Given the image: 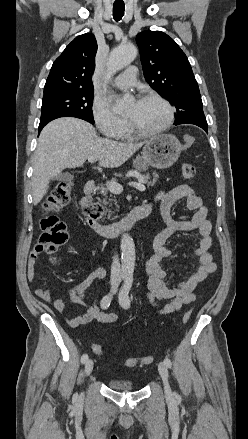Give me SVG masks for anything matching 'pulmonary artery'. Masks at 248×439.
<instances>
[{"mask_svg":"<svg viewBox=\"0 0 248 439\" xmlns=\"http://www.w3.org/2000/svg\"><path fill=\"white\" fill-rule=\"evenodd\" d=\"M136 67L131 66L114 79V85L119 89H126L134 85L136 79Z\"/></svg>","mask_w":248,"mask_h":439,"instance_id":"pulmonary-artery-1","label":"pulmonary artery"}]
</instances>
